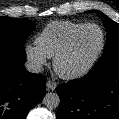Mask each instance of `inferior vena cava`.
Here are the masks:
<instances>
[{"mask_svg":"<svg viewBox=\"0 0 119 119\" xmlns=\"http://www.w3.org/2000/svg\"><path fill=\"white\" fill-rule=\"evenodd\" d=\"M25 67L31 73H40L43 70L42 65L35 61H27Z\"/></svg>","mask_w":119,"mask_h":119,"instance_id":"obj_1","label":"inferior vena cava"}]
</instances>
